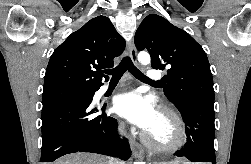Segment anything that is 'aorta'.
I'll return each instance as SVG.
<instances>
[{
	"mask_svg": "<svg viewBox=\"0 0 251 164\" xmlns=\"http://www.w3.org/2000/svg\"><path fill=\"white\" fill-rule=\"evenodd\" d=\"M138 61L142 64V65H148L150 63V56L147 52H140L138 54ZM135 164H145L144 162L140 161V162H136Z\"/></svg>",
	"mask_w": 251,
	"mask_h": 164,
	"instance_id": "762f6f07",
	"label": "aorta"
}]
</instances>
